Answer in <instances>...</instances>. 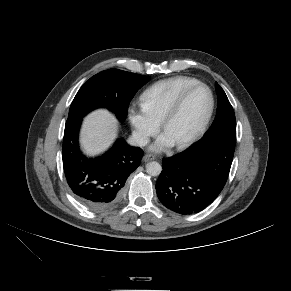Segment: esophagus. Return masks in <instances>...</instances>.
<instances>
[{"mask_svg":"<svg viewBox=\"0 0 291 291\" xmlns=\"http://www.w3.org/2000/svg\"><path fill=\"white\" fill-rule=\"evenodd\" d=\"M155 159V156L154 155H151V154H146L143 156V161L144 162H149V161H152Z\"/></svg>","mask_w":291,"mask_h":291,"instance_id":"obj_1","label":"esophagus"}]
</instances>
